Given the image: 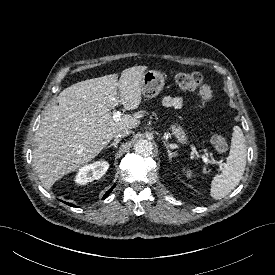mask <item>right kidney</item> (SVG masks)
<instances>
[{
    "label": "right kidney",
    "instance_id": "1",
    "mask_svg": "<svg viewBox=\"0 0 275 275\" xmlns=\"http://www.w3.org/2000/svg\"><path fill=\"white\" fill-rule=\"evenodd\" d=\"M109 168V164L106 161H96L92 164H88L79 169L75 182L80 185H85L88 182H92L101 178Z\"/></svg>",
    "mask_w": 275,
    "mask_h": 275
}]
</instances>
